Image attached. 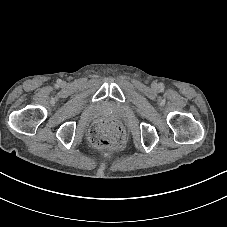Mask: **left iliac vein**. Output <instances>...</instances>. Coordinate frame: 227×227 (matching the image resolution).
Listing matches in <instances>:
<instances>
[{"mask_svg":"<svg viewBox=\"0 0 227 227\" xmlns=\"http://www.w3.org/2000/svg\"><path fill=\"white\" fill-rule=\"evenodd\" d=\"M152 86H153L154 88H157V83H153Z\"/></svg>","mask_w":227,"mask_h":227,"instance_id":"obj_1","label":"left iliac vein"}]
</instances>
